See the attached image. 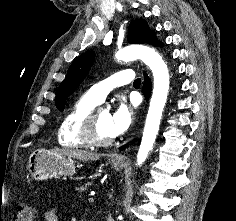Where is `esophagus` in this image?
Segmentation results:
<instances>
[{
	"mask_svg": "<svg viewBox=\"0 0 236 221\" xmlns=\"http://www.w3.org/2000/svg\"><path fill=\"white\" fill-rule=\"evenodd\" d=\"M113 161H115V162H122L123 158L121 156H116V157H114Z\"/></svg>",
	"mask_w": 236,
	"mask_h": 221,
	"instance_id": "obj_1",
	"label": "esophagus"
}]
</instances>
